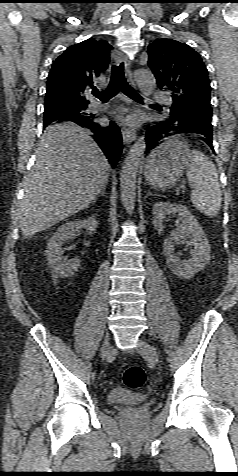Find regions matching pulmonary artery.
<instances>
[{
	"label": "pulmonary artery",
	"mask_w": 238,
	"mask_h": 476,
	"mask_svg": "<svg viewBox=\"0 0 238 476\" xmlns=\"http://www.w3.org/2000/svg\"><path fill=\"white\" fill-rule=\"evenodd\" d=\"M153 98L156 99V100H159L167 105H171L173 103L172 101V98L168 95H165L164 93L162 92H156L154 95H153ZM90 108L92 109V111H95V112H98V111H101L105 108V106L99 102H93L90 106Z\"/></svg>",
	"instance_id": "obj_1"
}]
</instances>
